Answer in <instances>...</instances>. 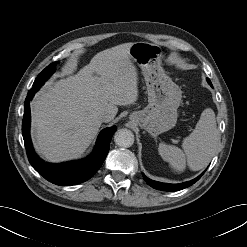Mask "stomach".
<instances>
[{
	"label": "stomach",
	"instance_id": "obj_1",
	"mask_svg": "<svg viewBox=\"0 0 247 247\" xmlns=\"http://www.w3.org/2000/svg\"><path fill=\"white\" fill-rule=\"evenodd\" d=\"M129 54L141 68L148 92L147 107L133 112L130 119L156 137L175 126L182 91L166 75L161 65L162 49L158 44L132 43Z\"/></svg>",
	"mask_w": 247,
	"mask_h": 247
}]
</instances>
